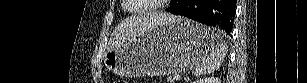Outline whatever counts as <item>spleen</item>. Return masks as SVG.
I'll list each match as a JSON object with an SVG mask.
<instances>
[{"label":"spleen","mask_w":307,"mask_h":83,"mask_svg":"<svg viewBox=\"0 0 307 83\" xmlns=\"http://www.w3.org/2000/svg\"><path fill=\"white\" fill-rule=\"evenodd\" d=\"M210 30L212 44L206 56L194 66L192 73L196 76L213 73L220 68L227 54V44L224 40V32L214 28H210Z\"/></svg>","instance_id":"spleen-1"}]
</instances>
